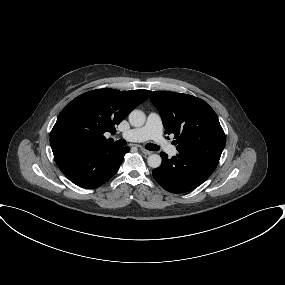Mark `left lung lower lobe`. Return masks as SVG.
<instances>
[{
  "instance_id": "1",
  "label": "left lung lower lobe",
  "mask_w": 285,
  "mask_h": 285,
  "mask_svg": "<svg viewBox=\"0 0 285 285\" xmlns=\"http://www.w3.org/2000/svg\"><path fill=\"white\" fill-rule=\"evenodd\" d=\"M162 164L153 170L155 180L165 190L184 193L201 185L216 169L217 165L196 157L178 154L168 159L161 152Z\"/></svg>"
}]
</instances>
